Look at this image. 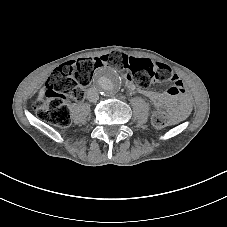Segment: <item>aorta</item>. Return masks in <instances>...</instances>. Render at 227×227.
I'll list each match as a JSON object with an SVG mask.
<instances>
[{"mask_svg": "<svg viewBox=\"0 0 227 227\" xmlns=\"http://www.w3.org/2000/svg\"><path fill=\"white\" fill-rule=\"evenodd\" d=\"M94 83L101 94L111 96L120 89L121 77L113 68L103 67L95 73Z\"/></svg>", "mask_w": 227, "mask_h": 227, "instance_id": "762f6f07", "label": "aorta"}]
</instances>
